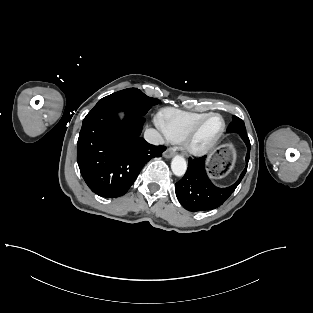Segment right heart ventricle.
Here are the masks:
<instances>
[{"mask_svg": "<svg viewBox=\"0 0 313 313\" xmlns=\"http://www.w3.org/2000/svg\"><path fill=\"white\" fill-rule=\"evenodd\" d=\"M206 115L208 114L164 109L158 116V124L169 141L181 142L187 132Z\"/></svg>", "mask_w": 313, "mask_h": 313, "instance_id": "right-heart-ventricle-1", "label": "right heart ventricle"}]
</instances>
